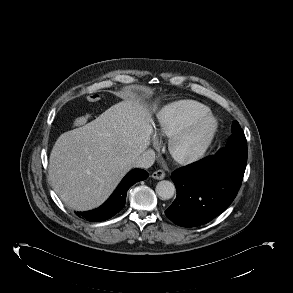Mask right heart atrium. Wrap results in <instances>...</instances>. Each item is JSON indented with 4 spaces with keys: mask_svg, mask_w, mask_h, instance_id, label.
<instances>
[{
    "mask_svg": "<svg viewBox=\"0 0 293 293\" xmlns=\"http://www.w3.org/2000/svg\"><path fill=\"white\" fill-rule=\"evenodd\" d=\"M154 143H155V144H157V143H158V140H157L156 138L154 139Z\"/></svg>",
    "mask_w": 293,
    "mask_h": 293,
    "instance_id": "right-heart-atrium-1",
    "label": "right heart atrium"
}]
</instances>
